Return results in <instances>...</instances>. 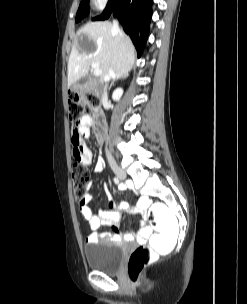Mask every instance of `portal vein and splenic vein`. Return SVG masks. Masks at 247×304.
I'll return each instance as SVG.
<instances>
[{"mask_svg": "<svg viewBox=\"0 0 247 304\" xmlns=\"http://www.w3.org/2000/svg\"><path fill=\"white\" fill-rule=\"evenodd\" d=\"M92 68H93V73H94V75H96V76H100L101 74H102V71H101V69H100V67H99V64L98 63H92Z\"/></svg>", "mask_w": 247, "mask_h": 304, "instance_id": "1", "label": "portal vein and splenic vein"}]
</instances>
